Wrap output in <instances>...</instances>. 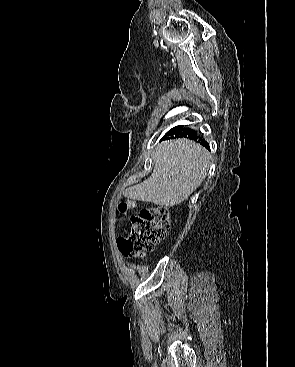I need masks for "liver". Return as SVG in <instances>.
<instances>
[{"instance_id": "1", "label": "liver", "mask_w": 295, "mask_h": 367, "mask_svg": "<svg viewBox=\"0 0 295 367\" xmlns=\"http://www.w3.org/2000/svg\"><path fill=\"white\" fill-rule=\"evenodd\" d=\"M151 176L129 188L133 200L172 207L182 203L207 176L210 153L188 139L164 141L153 152Z\"/></svg>"}]
</instances>
